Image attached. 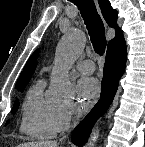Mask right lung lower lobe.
<instances>
[{
    "label": "right lung lower lobe",
    "mask_w": 145,
    "mask_h": 147,
    "mask_svg": "<svg viewBox=\"0 0 145 147\" xmlns=\"http://www.w3.org/2000/svg\"><path fill=\"white\" fill-rule=\"evenodd\" d=\"M126 57L125 40L123 35H120L108 44L100 100L84 120L74 129L71 141L75 145L82 146L87 142L93 125L107 111L112 103L118 88L119 78L125 69Z\"/></svg>",
    "instance_id": "right-lung-lower-lobe-1"
}]
</instances>
